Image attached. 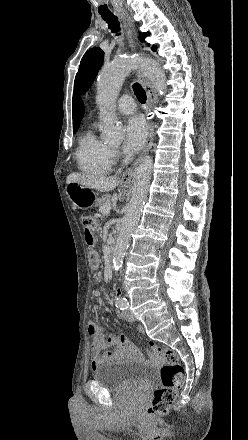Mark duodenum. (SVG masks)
<instances>
[{"instance_id":"410a0bca","label":"duodenum","mask_w":248,"mask_h":440,"mask_svg":"<svg viewBox=\"0 0 248 440\" xmlns=\"http://www.w3.org/2000/svg\"><path fill=\"white\" fill-rule=\"evenodd\" d=\"M114 251H115V243L112 241L109 245V249L107 252V261H108L109 265H110L111 260L113 258Z\"/></svg>"}]
</instances>
